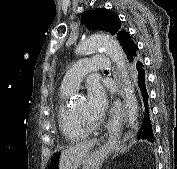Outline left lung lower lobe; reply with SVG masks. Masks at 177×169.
<instances>
[{
	"label": "left lung lower lobe",
	"mask_w": 177,
	"mask_h": 169,
	"mask_svg": "<svg viewBox=\"0 0 177 169\" xmlns=\"http://www.w3.org/2000/svg\"><path fill=\"white\" fill-rule=\"evenodd\" d=\"M138 55L139 54L137 45L134 42H131L127 47L125 56L130 64V67L134 71L138 87V95L142 107V124L137 134V139H145L153 143L154 132L152 120L150 117V108L148 104L146 73L143 62L141 59H138Z\"/></svg>",
	"instance_id": "left-lung-lower-lobe-1"
}]
</instances>
